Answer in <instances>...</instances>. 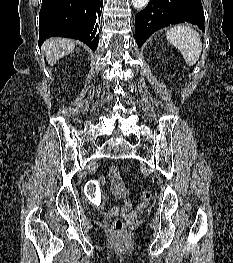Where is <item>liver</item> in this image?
<instances>
[{"label": "liver", "instance_id": "6515ba94", "mask_svg": "<svg viewBox=\"0 0 233 263\" xmlns=\"http://www.w3.org/2000/svg\"><path fill=\"white\" fill-rule=\"evenodd\" d=\"M75 42L66 38H50L43 44L46 61L53 66L57 60L71 53L74 50Z\"/></svg>", "mask_w": 233, "mask_h": 263}]
</instances>
